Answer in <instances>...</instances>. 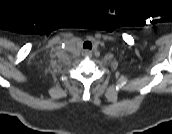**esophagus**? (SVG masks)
Masks as SVG:
<instances>
[{
    "label": "esophagus",
    "mask_w": 172,
    "mask_h": 134,
    "mask_svg": "<svg viewBox=\"0 0 172 134\" xmlns=\"http://www.w3.org/2000/svg\"><path fill=\"white\" fill-rule=\"evenodd\" d=\"M84 56H91V51L88 49L84 50Z\"/></svg>",
    "instance_id": "34e87169"
}]
</instances>
